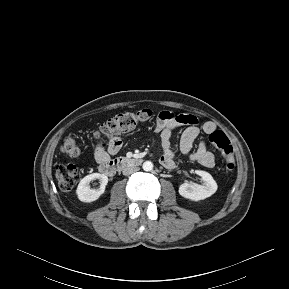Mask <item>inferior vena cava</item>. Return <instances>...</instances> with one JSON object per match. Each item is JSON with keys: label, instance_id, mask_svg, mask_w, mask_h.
Here are the masks:
<instances>
[{"label": "inferior vena cava", "instance_id": "obj_1", "mask_svg": "<svg viewBox=\"0 0 289 289\" xmlns=\"http://www.w3.org/2000/svg\"><path fill=\"white\" fill-rule=\"evenodd\" d=\"M139 168L138 167H134V166H131V167H126L123 169V175H130L136 171H138Z\"/></svg>", "mask_w": 289, "mask_h": 289}]
</instances>
